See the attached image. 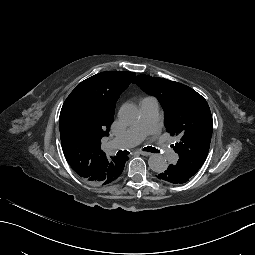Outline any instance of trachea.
I'll use <instances>...</instances> for the list:
<instances>
[{"label":"trachea","instance_id":"obj_1","mask_svg":"<svg viewBox=\"0 0 255 255\" xmlns=\"http://www.w3.org/2000/svg\"><path fill=\"white\" fill-rule=\"evenodd\" d=\"M142 150H143V151H146V152L159 153V150H158V149L153 148V147H150V146L144 147ZM129 153H130V152L127 151V150H119V151L117 152V155H127V154H129Z\"/></svg>","mask_w":255,"mask_h":255}]
</instances>
